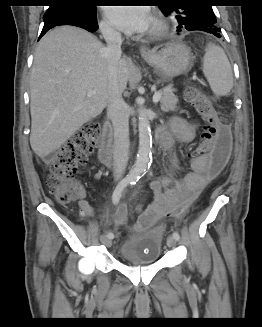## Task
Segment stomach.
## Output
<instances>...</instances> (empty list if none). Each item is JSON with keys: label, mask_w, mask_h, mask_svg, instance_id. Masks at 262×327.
<instances>
[{"label": "stomach", "mask_w": 262, "mask_h": 327, "mask_svg": "<svg viewBox=\"0 0 262 327\" xmlns=\"http://www.w3.org/2000/svg\"><path fill=\"white\" fill-rule=\"evenodd\" d=\"M143 58L163 80L188 72L193 61L191 50L181 43H170Z\"/></svg>", "instance_id": "1"}]
</instances>
